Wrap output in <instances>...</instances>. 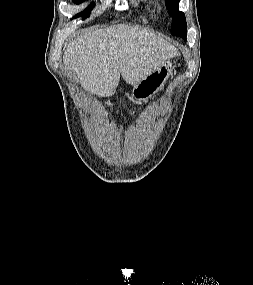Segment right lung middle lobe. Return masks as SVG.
<instances>
[{
    "mask_svg": "<svg viewBox=\"0 0 253 285\" xmlns=\"http://www.w3.org/2000/svg\"><path fill=\"white\" fill-rule=\"evenodd\" d=\"M83 0H73L74 3L78 4V3H81ZM94 5L91 4L89 8H87L85 11L79 13L78 15H76L74 18H77V17H82L83 19L87 18L90 14V10H91V7H93Z\"/></svg>",
    "mask_w": 253,
    "mask_h": 285,
    "instance_id": "right-lung-middle-lobe-1",
    "label": "right lung middle lobe"
}]
</instances>
